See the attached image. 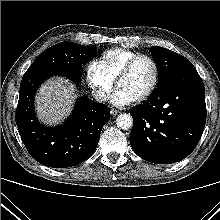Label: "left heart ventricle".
I'll use <instances>...</instances> for the list:
<instances>
[{"instance_id":"obj_1","label":"left heart ventricle","mask_w":220,"mask_h":220,"mask_svg":"<svg viewBox=\"0 0 220 220\" xmlns=\"http://www.w3.org/2000/svg\"><path fill=\"white\" fill-rule=\"evenodd\" d=\"M153 78V67L146 59L139 60L132 70L118 83L134 99L140 96L150 85Z\"/></svg>"}]
</instances>
